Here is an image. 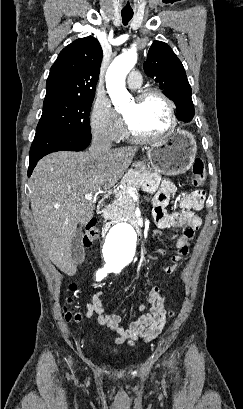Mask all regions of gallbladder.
<instances>
[{"label":"gallbladder","instance_id":"1","mask_svg":"<svg viewBox=\"0 0 243 409\" xmlns=\"http://www.w3.org/2000/svg\"><path fill=\"white\" fill-rule=\"evenodd\" d=\"M71 255L76 264H79L83 261L84 248L82 245V233L79 229L76 231L71 244Z\"/></svg>","mask_w":243,"mask_h":409}]
</instances>
